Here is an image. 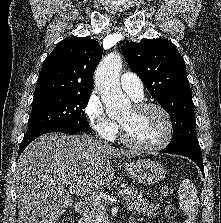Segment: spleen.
I'll return each instance as SVG.
<instances>
[{
  "label": "spleen",
  "instance_id": "obj_1",
  "mask_svg": "<svg viewBox=\"0 0 221 223\" xmlns=\"http://www.w3.org/2000/svg\"><path fill=\"white\" fill-rule=\"evenodd\" d=\"M179 204L187 215L184 223H195L198 215L199 198L193 182L189 179L183 180L179 186Z\"/></svg>",
  "mask_w": 221,
  "mask_h": 223
}]
</instances>
